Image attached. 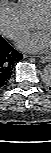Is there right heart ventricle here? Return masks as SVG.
Listing matches in <instances>:
<instances>
[{
  "mask_svg": "<svg viewBox=\"0 0 51 153\" xmlns=\"http://www.w3.org/2000/svg\"><path fill=\"white\" fill-rule=\"evenodd\" d=\"M17 5L25 17L34 22L40 12L51 6V0H18Z\"/></svg>",
  "mask_w": 51,
  "mask_h": 153,
  "instance_id": "right-heart-ventricle-1",
  "label": "right heart ventricle"
}]
</instances>
